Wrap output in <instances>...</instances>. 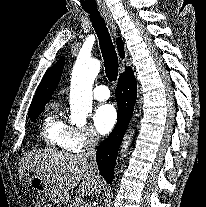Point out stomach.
<instances>
[{"label":"stomach","instance_id":"obj_1","mask_svg":"<svg viewBox=\"0 0 206 207\" xmlns=\"http://www.w3.org/2000/svg\"><path fill=\"white\" fill-rule=\"evenodd\" d=\"M28 184L38 193H42L45 196L51 198L50 194V187L48 183L38 175H32L28 179Z\"/></svg>","mask_w":206,"mask_h":207}]
</instances>
